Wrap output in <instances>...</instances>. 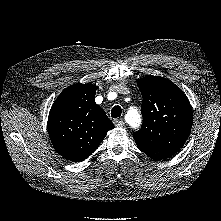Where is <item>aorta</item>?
<instances>
[{
    "mask_svg": "<svg viewBox=\"0 0 221 221\" xmlns=\"http://www.w3.org/2000/svg\"><path fill=\"white\" fill-rule=\"evenodd\" d=\"M127 117H129V124L133 127V128H137L140 123H141V116L139 114V112L135 109V108H131L128 113H127Z\"/></svg>",
    "mask_w": 221,
    "mask_h": 221,
    "instance_id": "1",
    "label": "aorta"
}]
</instances>
